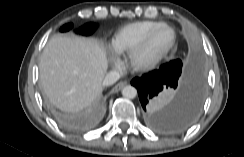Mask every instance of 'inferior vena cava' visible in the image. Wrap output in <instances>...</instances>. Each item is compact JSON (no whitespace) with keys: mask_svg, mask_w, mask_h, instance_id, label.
<instances>
[{"mask_svg":"<svg viewBox=\"0 0 244 157\" xmlns=\"http://www.w3.org/2000/svg\"><path fill=\"white\" fill-rule=\"evenodd\" d=\"M120 79V74L117 71H110L109 73L106 74L104 80H103V85L109 86L114 84Z\"/></svg>","mask_w":244,"mask_h":157,"instance_id":"inferior-vena-cava-1","label":"inferior vena cava"}]
</instances>
